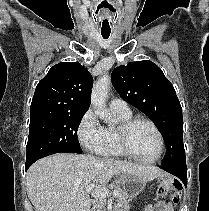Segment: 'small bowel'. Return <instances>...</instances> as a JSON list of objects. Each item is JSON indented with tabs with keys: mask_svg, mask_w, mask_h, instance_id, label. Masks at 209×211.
<instances>
[{
	"mask_svg": "<svg viewBox=\"0 0 209 211\" xmlns=\"http://www.w3.org/2000/svg\"><path fill=\"white\" fill-rule=\"evenodd\" d=\"M145 211H173V207L164 202H157L147 205Z\"/></svg>",
	"mask_w": 209,
	"mask_h": 211,
	"instance_id": "1",
	"label": "small bowel"
}]
</instances>
